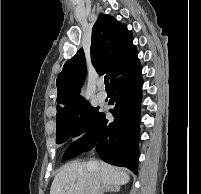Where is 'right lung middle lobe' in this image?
Wrapping results in <instances>:
<instances>
[{"label":"right lung middle lobe","mask_w":201,"mask_h":194,"mask_svg":"<svg viewBox=\"0 0 201 194\" xmlns=\"http://www.w3.org/2000/svg\"><path fill=\"white\" fill-rule=\"evenodd\" d=\"M98 108L84 102L73 113L60 119H56L57 143H63L70 136H76L88 130L99 117ZM76 151L71 150L64 155L63 160L76 156Z\"/></svg>","instance_id":"1"}]
</instances>
